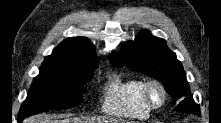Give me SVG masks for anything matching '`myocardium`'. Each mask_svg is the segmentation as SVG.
<instances>
[{
    "label": "myocardium",
    "mask_w": 221,
    "mask_h": 123,
    "mask_svg": "<svg viewBox=\"0 0 221 123\" xmlns=\"http://www.w3.org/2000/svg\"><path fill=\"white\" fill-rule=\"evenodd\" d=\"M155 90L160 93L161 97L159 101L155 100L153 97V92ZM141 94L143 100L151 109H157L164 106L168 97L165 86L155 78H149L142 82Z\"/></svg>",
    "instance_id": "myocardium-1"
}]
</instances>
